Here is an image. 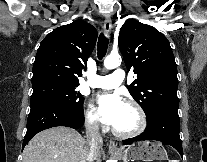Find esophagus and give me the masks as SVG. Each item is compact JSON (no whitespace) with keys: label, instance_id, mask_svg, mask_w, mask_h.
<instances>
[{"label":"esophagus","instance_id":"34e87169","mask_svg":"<svg viewBox=\"0 0 207 162\" xmlns=\"http://www.w3.org/2000/svg\"><path fill=\"white\" fill-rule=\"evenodd\" d=\"M104 33L106 36H109L112 29V22H111V16L110 14L106 15L103 25ZM108 148L110 151L116 152L118 151L117 144L114 141H110L108 143Z\"/></svg>","mask_w":207,"mask_h":162}]
</instances>
